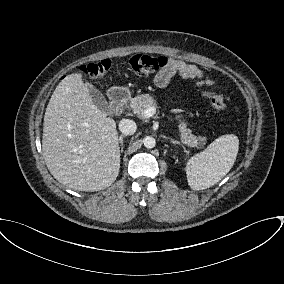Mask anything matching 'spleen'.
Here are the masks:
<instances>
[{
	"instance_id": "1",
	"label": "spleen",
	"mask_w": 284,
	"mask_h": 284,
	"mask_svg": "<svg viewBox=\"0 0 284 284\" xmlns=\"http://www.w3.org/2000/svg\"><path fill=\"white\" fill-rule=\"evenodd\" d=\"M238 149V137L227 134L192 156L186 164L188 185L194 190H203L219 182L232 168Z\"/></svg>"
}]
</instances>
